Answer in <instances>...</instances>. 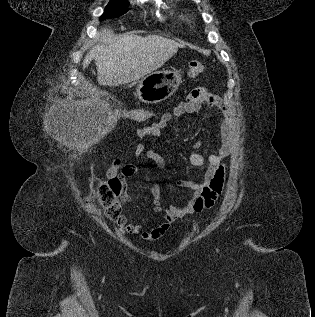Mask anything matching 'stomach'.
Listing matches in <instances>:
<instances>
[{
	"instance_id": "0dacf381",
	"label": "stomach",
	"mask_w": 315,
	"mask_h": 317,
	"mask_svg": "<svg viewBox=\"0 0 315 317\" xmlns=\"http://www.w3.org/2000/svg\"><path fill=\"white\" fill-rule=\"evenodd\" d=\"M181 82L182 78L177 70L151 72L139 82V99L148 104L162 102L176 92Z\"/></svg>"
}]
</instances>
